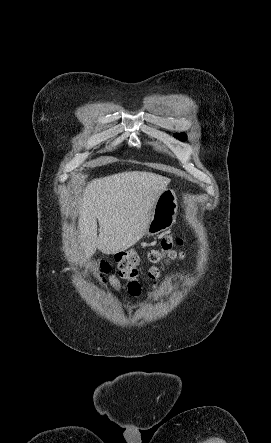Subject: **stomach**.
I'll return each instance as SVG.
<instances>
[{"mask_svg":"<svg viewBox=\"0 0 271 443\" xmlns=\"http://www.w3.org/2000/svg\"><path fill=\"white\" fill-rule=\"evenodd\" d=\"M177 210V196L174 190L167 188V190L161 192L155 202L145 235H155V233H160V231L172 227L176 220Z\"/></svg>","mask_w":271,"mask_h":443,"instance_id":"0dacf381","label":"stomach"}]
</instances>
